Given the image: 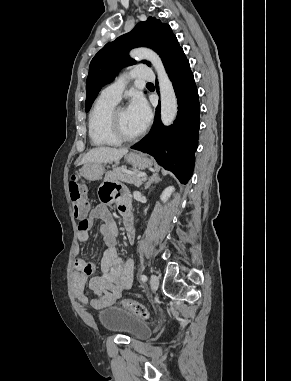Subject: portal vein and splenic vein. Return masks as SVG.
Wrapping results in <instances>:
<instances>
[{
	"mask_svg": "<svg viewBox=\"0 0 291 381\" xmlns=\"http://www.w3.org/2000/svg\"><path fill=\"white\" fill-rule=\"evenodd\" d=\"M146 173H139V174H137V177H139V178H146Z\"/></svg>",
	"mask_w": 291,
	"mask_h": 381,
	"instance_id": "18ae733b",
	"label": "portal vein and splenic vein"
}]
</instances>
